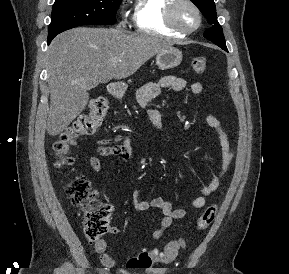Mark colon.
Masks as SVG:
<instances>
[{
  "instance_id": "colon-1",
  "label": "colon",
  "mask_w": 289,
  "mask_h": 274,
  "mask_svg": "<svg viewBox=\"0 0 289 274\" xmlns=\"http://www.w3.org/2000/svg\"><path fill=\"white\" fill-rule=\"evenodd\" d=\"M191 66L195 73L202 74L207 67V58L204 56L191 59ZM108 110V103L103 97L91 100L88 112L79 116L54 143L57 156V166L65 167L73 164L74 159L69 155V150L80 137L93 134L102 124ZM66 193L71 203L81 209L83 213L84 232L91 241L100 240L105 234L112 232L110 204L102 202L97 192L91 187L90 182L84 177H75L67 187ZM218 211L216 203L205 208L197 220L196 230H205L215 219ZM188 239L180 238L169 242L162 251H143L131 258L127 267L132 269H149L158 263L173 261L178 253L186 246Z\"/></svg>"
}]
</instances>
